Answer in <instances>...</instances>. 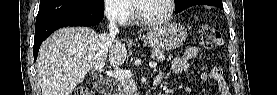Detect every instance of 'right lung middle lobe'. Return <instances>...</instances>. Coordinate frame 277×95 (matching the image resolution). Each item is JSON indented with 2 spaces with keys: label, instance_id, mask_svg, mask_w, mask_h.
<instances>
[{
  "label": "right lung middle lobe",
  "instance_id": "1",
  "mask_svg": "<svg viewBox=\"0 0 277 95\" xmlns=\"http://www.w3.org/2000/svg\"><path fill=\"white\" fill-rule=\"evenodd\" d=\"M103 0H40L37 18L60 14L104 13Z\"/></svg>",
  "mask_w": 277,
  "mask_h": 95
}]
</instances>
